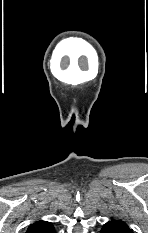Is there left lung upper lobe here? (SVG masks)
Returning <instances> with one entry per match:
<instances>
[{
  "label": "left lung upper lobe",
  "mask_w": 148,
  "mask_h": 233,
  "mask_svg": "<svg viewBox=\"0 0 148 233\" xmlns=\"http://www.w3.org/2000/svg\"><path fill=\"white\" fill-rule=\"evenodd\" d=\"M110 229L115 233H133V230L128 227V225L121 220H110L104 224L102 230Z\"/></svg>",
  "instance_id": "left-lung-upper-lobe-1"
}]
</instances>
